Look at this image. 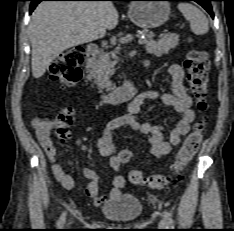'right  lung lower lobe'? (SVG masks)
Wrapping results in <instances>:
<instances>
[{
	"instance_id": "1",
	"label": "right lung lower lobe",
	"mask_w": 234,
	"mask_h": 231,
	"mask_svg": "<svg viewBox=\"0 0 234 231\" xmlns=\"http://www.w3.org/2000/svg\"><path fill=\"white\" fill-rule=\"evenodd\" d=\"M31 1V6H30V14L32 11L35 9L38 3L41 1H91V0H29ZM113 1H120V0H113Z\"/></svg>"
}]
</instances>
